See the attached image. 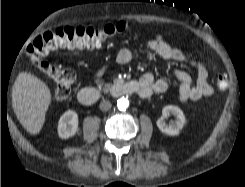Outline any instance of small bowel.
<instances>
[{
  "label": "small bowel",
  "mask_w": 245,
  "mask_h": 187,
  "mask_svg": "<svg viewBox=\"0 0 245 187\" xmlns=\"http://www.w3.org/2000/svg\"><path fill=\"white\" fill-rule=\"evenodd\" d=\"M148 49L159 55L165 60L186 63L196 70V78L193 79L187 72L175 69L173 75L179 82L178 100L180 102L195 101L213 94V88L208 81V72L205 66L196 59L186 55L183 51L167 42L162 36H155L146 41ZM198 55H202V50L194 47ZM115 62L121 65L130 63L132 52L128 48L120 49L114 58ZM107 66L101 67L94 74V79H100L106 72ZM142 86L140 96L149 97L153 93H163L169 87L166 79H157L152 74L146 73L139 78Z\"/></svg>",
  "instance_id": "1"
}]
</instances>
